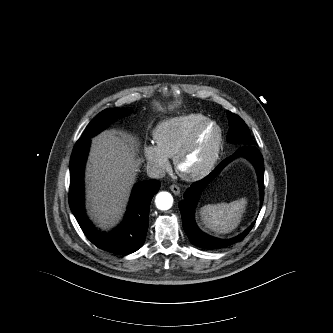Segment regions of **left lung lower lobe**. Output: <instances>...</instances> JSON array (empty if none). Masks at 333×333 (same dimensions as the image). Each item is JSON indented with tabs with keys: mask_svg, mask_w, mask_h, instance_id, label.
Masks as SVG:
<instances>
[{
	"mask_svg": "<svg viewBox=\"0 0 333 333\" xmlns=\"http://www.w3.org/2000/svg\"><path fill=\"white\" fill-rule=\"evenodd\" d=\"M243 156L250 160L257 170L261 201L264 196V163L263 157L257 148L252 145H244L240 147L233 155L223 160L208 176L200 181L193 183L184 193V200L179 203V209L182 215V223L185 232L188 235L190 242L200 248L205 249H219L230 246L236 242L244 239V237L252 229L254 223L244 231V233L231 238L219 239L203 233L196 225L194 220V209L196 207L199 195L203 188L225 167L229 162L235 158Z\"/></svg>",
	"mask_w": 333,
	"mask_h": 333,
	"instance_id": "obj_1",
	"label": "left lung lower lobe"
}]
</instances>
